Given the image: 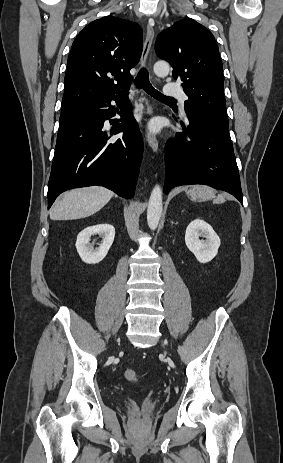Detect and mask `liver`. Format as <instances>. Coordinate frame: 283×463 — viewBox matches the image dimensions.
Wrapping results in <instances>:
<instances>
[{"instance_id":"6515ba94","label":"liver","mask_w":283,"mask_h":463,"mask_svg":"<svg viewBox=\"0 0 283 463\" xmlns=\"http://www.w3.org/2000/svg\"><path fill=\"white\" fill-rule=\"evenodd\" d=\"M114 193L104 187L91 186L65 192L50 210L51 220H76L89 217L103 208Z\"/></svg>"}]
</instances>
